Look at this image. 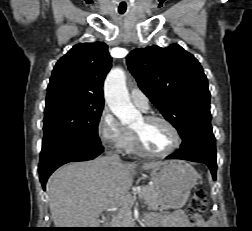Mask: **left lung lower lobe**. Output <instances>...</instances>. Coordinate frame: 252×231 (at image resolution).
Here are the masks:
<instances>
[{
    "label": "left lung lower lobe",
    "instance_id": "0a47b994",
    "mask_svg": "<svg viewBox=\"0 0 252 231\" xmlns=\"http://www.w3.org/2000/svg\"><path fill=\"white\" fill-rule=\"evenodd\" d=\"M182 145L174 154L166 159H183L205 163L216 178V149L215 137L212 130H197L182 139Z\"/></svg>",
    "mask_w": 252,
    "mask_h": 231
}]
</instances>
